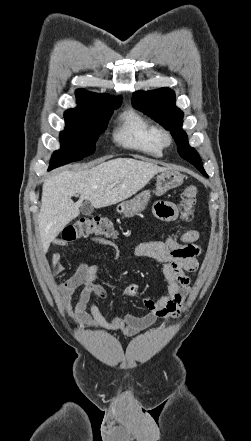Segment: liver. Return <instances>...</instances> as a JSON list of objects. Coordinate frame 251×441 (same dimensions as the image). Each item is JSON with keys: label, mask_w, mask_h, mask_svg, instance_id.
Masks as SVG:
<instances>
[{"label": "liver", "mask_w": 251, "mask_h": 441, "mask_svg": "<svg viewBox=\"0 0 251 441\" xmlns=\"http://www.w3.org/2000/svg\"><path fill=\"white\" fill-rule=\"evenodd\" d=\"M167 169L146 161L116 158L89 170H65L46 179L38 216L44 253L64 227L79 216L83 200L95 208L111 206L131 197ZM76 194L80 199L74 203Z\"/></svg>", "instance_id": "6515ba94"}]
</instances>
